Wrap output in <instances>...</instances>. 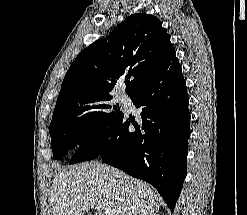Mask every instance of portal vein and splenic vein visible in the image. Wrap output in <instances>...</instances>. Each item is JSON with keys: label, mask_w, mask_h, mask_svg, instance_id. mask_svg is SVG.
<instances>
[{"label": "portal vein and splenic vein", "mask_w": 247, "mask_h": 215, "mask_svg": "<svg viewBox=\"0 0 247 215\" xmlns=\"http://www.w3.org/2000/svg\"><path fill=\"white\" fill-rule=\"evenodd\" d=\"M100 208H102V206H101V205H99V206H98V209H100ZM106 212H107V211H106Z\"/></svg>", "instance_id": "obj_1"}]
</instances>
